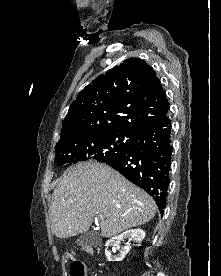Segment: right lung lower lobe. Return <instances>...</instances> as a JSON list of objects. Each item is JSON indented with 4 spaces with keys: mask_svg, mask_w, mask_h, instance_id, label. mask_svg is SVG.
<instances>
[{
    "mask_svg": "<svg viewBox=\"0 0 221 276\" xmlns=\"http://www.w3.org/2000/svg\"><path fill=\"white\" fill-rule=\"evenodd\" d=\"M171 120L167 114L132 136L130 148L104 162L154 197L161 215L166 206L171 165Z\"/></svg>",
    "mask_w": 221,
    "mask_h": 276,
    "instance_id": "right-lung-lower-lobe-1",
    "label": "right lung lower lobe"
}]
</instances>
